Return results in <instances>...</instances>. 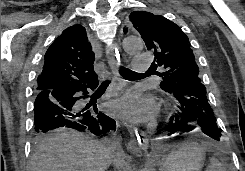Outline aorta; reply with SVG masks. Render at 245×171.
I'll return each mask as SVG.
<instances>
[{"instance_id": "obj_1", "label": "aorta", "mask_w": 245, "mask_h": 171, "mask_svg": "<svg viewBox=\"0 0 245 171\" xmlns=\"http://www.w3.org/2000/svg\"><path fill=\"white\" fill-rule=\"evenodd\" d=\"M122 45L123 49L128 54L140 52L143 48V42L139 37H126Z\"/></svg>"}]
</instances>
